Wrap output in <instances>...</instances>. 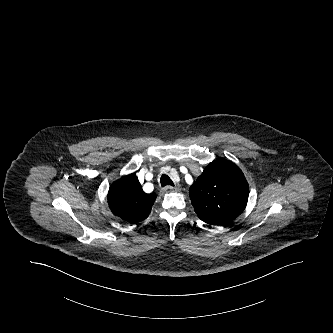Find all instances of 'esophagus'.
Segmentation results:
<instances>
[{
	"label": "esophagus",
	"instance_id": "esophagus-1",
	"mask_svg": "<svg viewBox=\"0 0 333 333\" xmlns=\"http://www.w3.org/2000/svg\"><path fill=\"white\" fill-rule=\"evenodd\" d=\"M164 191H165V192H179L180 189H179V187H177V186H166V187L164 188Z\"/></svg>",
	"mask_w": 333,
	"mask_h": 333
}]
</instances>
